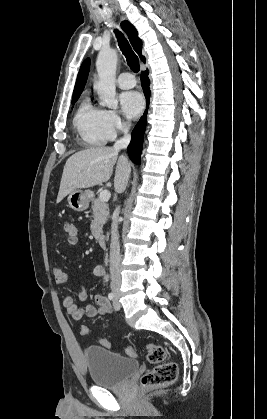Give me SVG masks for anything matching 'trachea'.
Masks as SVG:
<instances>
[{
	"label": "trachea",
	"instance_id": "1",
	"mask_svg": "<svg viewBox=\"0 0 267 419\" xmlns=\"http://www.w3.org/2000/svg\"><path fill=\"white\" fill-rule=\"evenodd\" d=\"M114 32L116 34L119 47L121 51L123 52V54L125 55L129 67L131 68L133 72L135 73L139 72L140 70L139 59L135 55V53L132 51L129 42L126 40V38L123 36V34L120 31L115 30Z\"/></svg>",
	"mask_w": 267,
	"mask_h": 419
}]
</instances>
